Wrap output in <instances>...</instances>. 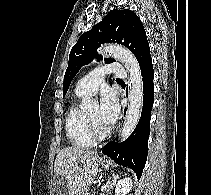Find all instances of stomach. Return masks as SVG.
<instances>
[{"mask_svg": "<svg viewBox=\"0 0 211 195\" xmlns=\"http://www.w3.org/2000/svg\"><path fill=\"white\" fill-rule=\"evenodd\" d=\"M98 166H101L102 168H109L110 162L108 160H106L105 158H99L97 161V168H98ZM95 178H96V176L93 177V180H95ZM54 185L66 186L67 183L64 179L57 177Z\"/></svg>", "mask_w": 211, "mask_h": 195, "instance_id": "0dacf381", "label": "stomach"}]
</instances>
